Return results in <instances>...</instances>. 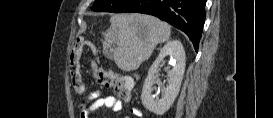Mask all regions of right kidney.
Returning <instances> with one entry per match:
<instances>
[{
  "instance_id": "right-kidney-1",
  "label": "right kidney",
  "mask_w": 273,
  "mask_h": 118,
  "mask_svg": "<svg viewBox=\"0 0 273 118\" xmlns=\"http://www.w3.org/2000/svg\"><path fill=\"white\" fill-rule=\"evenodd\" d=\"M170 56L173 68L168 73V86L164 89L162 97L158 98L152 94L156 73L159 64L166 56ZM185 71V51L183 45L178 40L167 42L161 49L158 58L153 62L145 79L141 100L146 109L155 114H164L174 103L179 91Z\"/></svg>"
}]
</instances>
